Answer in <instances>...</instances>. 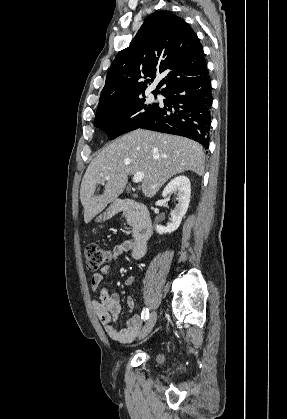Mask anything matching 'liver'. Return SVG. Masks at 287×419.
<instances>
[{"label": "liver", "mask_w": 287, "mask_h": 419, "mask_svg": "<svg viewBox=\"0 0 287 419\" xmlns=\"http://www.w3.org/2000/svg\"><path fill=\"white\" fill-rule=\"evenodd\" d=\"M203 147L188 138L137 129L106 146L89 164L80 188L84 222L89 223L123 193L128 176L143 172L142 192L153 197L174 175L185 171L204 174ZM109 177V180H105ZM104 186L95 195L96 186Z\"/></svg>", "instance_id": "liver-1"}]
</instances>
